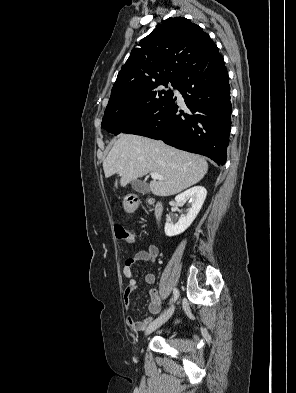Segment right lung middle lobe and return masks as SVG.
Segmentation results:
<instances>
[{"label":"right lung middle lobe","instance_id":"dd1d6c3e","mask_svg":"<svg viewBox=\"0 0 296 393\" xmlns=\"http://www.w3.org/2000/svg\"><path fill=\"white\" fill-rule=\"evenodd\" d=\"M167 84L168 82L159 83L132 98L109 102L102 120V128L117 135L148 117L173 97L171 90L163 89ZM171 84L175 88L176 83Z\"/></svg>","mask_w":296,"mask_h":393}]
</instances>
